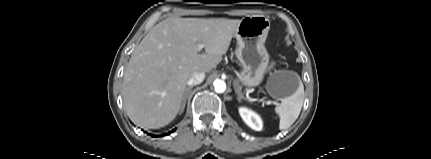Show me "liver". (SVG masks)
<instances>
[{"instance_id":"1","label":"liver","mask_w":431,"mask_h":159,"mask_svg":"<svg viewBox=\"0 0 431 159\" xmlns=\"http://www.w3.org/2000/svg\"><path fill=\"white\" fill-rule=\"evenodd\" d=\"M240 21L172 17L152 28L124 73L122 95L130 119L148 129L173 121L191 74L209 73L217 67ZM199 44L204 45V53H199Z\"/></svg>"}]
</instances>
